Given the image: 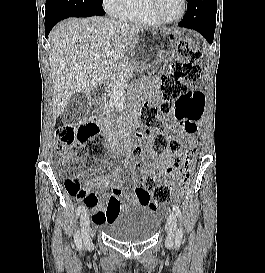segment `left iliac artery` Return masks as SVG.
Listing matches in <instances>:
<instances>
[{
	"instance_id": "obj_1",
	"label": "left iliac artery",
	"mask_w": 265,
	"mask_h": 273,
	"mask_svg": "<svg viewBox=\"0 0 265 273\" xmlns=\"http://www.w3.org/2000/svg\"><path fill=\"white\" fill-rule=\"evenodd\" d=\"M174 214L179 218L180 220V228L178 229L177 233H176V238H175V243L176 246L179 247L183 238V229L181 226L182 223V215H181V211L179 209V207L177 205H173L172 207Z\"/></svg>"
}]
</instances>
